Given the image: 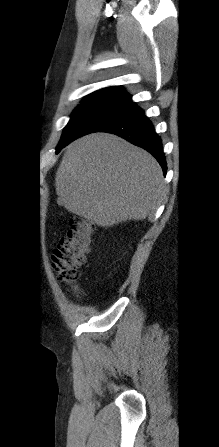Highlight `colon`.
I'll list each match as a JSON object with an SVG mask.
<instances>
[{"label": "colon", "instance_id": "obj_1", "mask_svg": "<svg viewBox=\"0 0 219 447\" xmlns=\"http://www.w3.org/2000/svg\"><path fill=\"white\" fill-rule=\"evenodd\" d=\"M92 236V224L81 217H75L70 221L67 235L59 241L52 254L53 268L59 281L70 285L77 294L80 292L77 284L80 268L87 261Z\"/></svg>", "mask_w": 219, "mask_h": 447}]
</instances>
